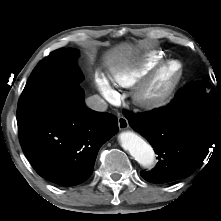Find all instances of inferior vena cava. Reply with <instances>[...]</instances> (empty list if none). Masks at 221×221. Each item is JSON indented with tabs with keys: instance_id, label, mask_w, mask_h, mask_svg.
<instances>
[{
	"instance_id": "obj_1",
	"label": "inferior vena cava",
	"mask_w": 221,
	"mask_h": 221,
	"mask_svg": "<svg viewBox=\"0 0 221 221\" xmlns=\"http://www.w3.org/2000/svg\"><path fill=\"white\" fill-rule=\"evenodd\" d=\"M86 105L90 109L95 110V111H100V112L106 111L108 107V104L106 103V101L98 95H93V96L88 97L86 99Z\"/></svg>"
}]
</instances>
